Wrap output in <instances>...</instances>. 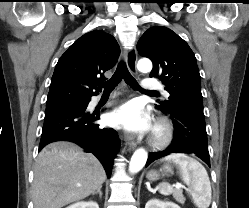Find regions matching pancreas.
<instances>
[{"mask_svg": "<svg viewBox=\"0 0 249 208\" xmlns=\"http://www.w3.org/2000/svg\"><path fill=\"white\" fill-rule=\"evenodd\" d=\"M173 197L175 198V200L181 204H184L185 202V197L182 194V190L181 189H175L173 190Z\"/></svg>", "mask_w": 249, "mask_h": 208, "instance_id": "pancreas-1", "label": "pancreas"}]
</instances>
